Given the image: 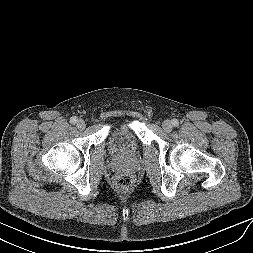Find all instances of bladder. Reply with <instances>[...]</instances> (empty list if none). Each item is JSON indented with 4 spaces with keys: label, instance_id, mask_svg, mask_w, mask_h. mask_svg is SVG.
<instances>
[{
    "label": "bladder",
    "instance_id": "bladder-1",
    "mask_svg": "<svg viewBox=\"0 0 253 253\" xmlns=\"http://www.w3.org/2000/svg\"><path fill=\"white\" fill-rule=\"evenodd\" d=\"M108 145L117 156H131L137 151L138 141L131 128L114 125L109 131Z\"/></svg>",
    "mask_w": 253,
    "mask_h": 253
}]
</instances>
